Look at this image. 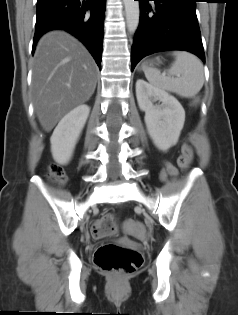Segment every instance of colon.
I'll return each instance as SVG.
<instances>
[{
    "instance_id": "colon-1",
    "label": "colon",
    "mask_w": 238,
    "mask_h": 315,
    "mask_svg": "<svg viewBox=\"0 0 238 315\" xmlns=\"http://www.w3.org/2000/svg\"><path fill=\"white\" fill-rule=\"evenodd\" d=\"M192 160L193 149L190 145H186L178 158V165L181 169H187ZM49 175L60 184L66 180L64 170L56 164L49 167ZM125 230L136 237H143L145 234L144 226L134 220H128L125 223ZM92 233L97 239L114 236L117 233L115 216L108 214L96 221L93 224ZM94 263L101 271L120 278L133 274L142 265L143 256L137 250L106 243L95 251Z\"/></svg>"
}]
</instances>
